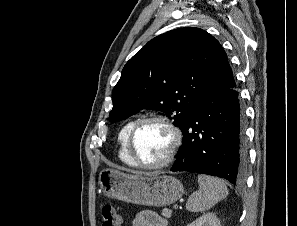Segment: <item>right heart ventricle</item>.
<instances>
[{
  "label": "right heart ventricle",
  "mask_w": 297,
  "mask_h": 226,
  "mask_svg": "<svg viewBox=\"0 0 297 226\" xmlns=\"http://www.w3.org/2000/svg\"><path fill=\"white\" fill-rule=\"evenodd\" d=\"M137 121V119H131L127 121L121 128L118 134V144H119V151L118 156L119 159L128 166H136L133 160L130 158L128 151H127V137L129 131L133 124Z\"/></svg>",
  "instance_id": "1"
}]
</instances>
